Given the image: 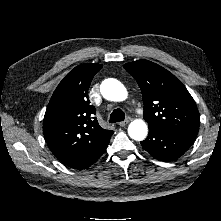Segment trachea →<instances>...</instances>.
<instances>
[{
    "label": "trachea",
    "instance_id": "obj_1",
    "mask_svg": "<svg viewBox=\"0 0 221 221\" xmlns=\"http://www.w3.org/2000/svg\"><path fill=\"white\" fill-rule=\"evenodd\" d=\"M125 119V113L121 109H115L111 114H110V123H116L120 121H124Z\"/></svg>",
    "mask_w": 221,
    "mask_h": 221
}]
</instances>
